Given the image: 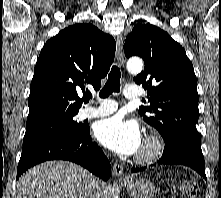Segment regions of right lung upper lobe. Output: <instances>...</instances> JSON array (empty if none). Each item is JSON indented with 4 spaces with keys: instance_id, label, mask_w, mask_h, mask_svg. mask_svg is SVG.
<instances>
[{
    "instance_id": "1",
    "label": "right lung upper lobe",
    "mask_w": 221,
    "mask_h": 198,
    "mask_svg": "<svg viewBox=\"0 0 221 198\" xmlns=\"http://www.w3.org/2000/svg\"><path fill=\"white\" fill-rule=\"evenodd\" d=\"M115 49L112 36L86 23L69 26L47 41L30 85L27 122L78 113L82 103L88 101L86 85L100 88L114 61Z\"/></svg>"
}]
</instances>
